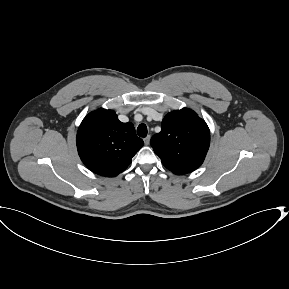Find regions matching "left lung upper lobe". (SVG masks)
I'll return each mask as SVG.
<instances>
[{
    "instance_id": "1",
    "label": "left lung upper lobe",
    "mask_w": 289,
    "mask_h": 289,
    "mask_svg": "<svg viewBox=\"0 0 289 289\" xmlns=\"http://www.w3.org/2000/svg\"><path fill=\"white\" fill-rule=\"evenodd\" d=\"M151 146L163 165L174 174L196 170L204 161L210 132L204 120L187 108L168 113L161 132L151 138Z\"/></svg>"
}]
</instances>
